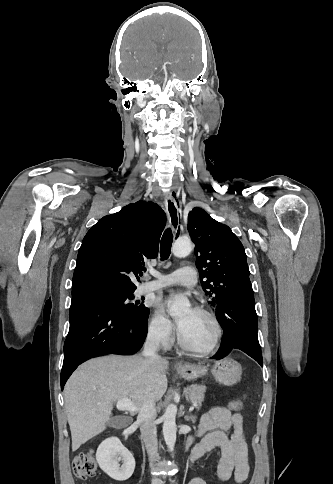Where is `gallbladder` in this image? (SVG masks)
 I'll list each match as a JSON object with an SVG mask.
<instances>
[{"label":"gallbladder","mask_w":333,"mask_h":484,"mask_svg":"<svg viewBox=\"0 0 333 484\" xmlns=\"http://www.w3.org/2000/svg\"><path fill=\"white\" fill-rule=\"evenodd\" d=\"M121 416H115V417H112L108 422H107V425L109 427H112V428H118L120 427V420H121Z\"/></svg>","instance_id":"obj_1"}]
</instances>
